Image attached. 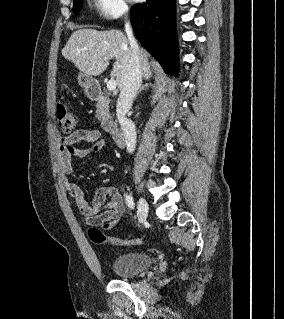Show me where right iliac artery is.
Returning <instances> with one entry per match:
<instances>
[{"instance_id":"1","label":"right iliac artery","mask_w":284,"mask_h":319,"mask_svg":"<svg viewBox=\"0 0 284 319\" xmlns=\"http://www.w3.org/2000/svg\"><path fill=\"white\" fill-rule=\"evenodd\" d=\"M125 200H126V203H127L128 207L131 208V209H134L133 198L130 195L126 194Z\"/></svg>"}]
</instances>
